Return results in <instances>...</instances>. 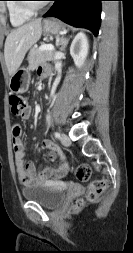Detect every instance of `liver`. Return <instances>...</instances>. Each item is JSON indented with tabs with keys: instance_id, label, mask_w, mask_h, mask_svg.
I'll return each instance as SVG.
<instances>
[{
	"instance_id": "1",
	"label": "liver",
	"mask_w": 133,
	"mask_h": 253,
	"mask_svg": "<svg viewBox=\"0 0 133 253\" xmlns=\"http://www.w3.org/2000/svg\"><path fill=\"white\" fill-rule=\"evenodd\" d=\"M41 34V19H36L14 29L7 36L4 57L10 76L20 67L25 54L40 39Z\"/></svg>"
}]
</instances>
